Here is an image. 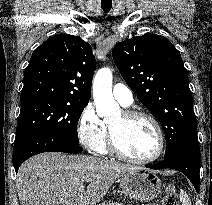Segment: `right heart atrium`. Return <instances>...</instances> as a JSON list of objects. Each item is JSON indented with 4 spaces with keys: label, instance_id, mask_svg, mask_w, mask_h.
Listing matches in <instances>:
<instances>
[{
    "label": "right heart atrium",
    "instance_id": "1",
    "mask_svg": "<svg viewBox=\"0 0 212 205\" xmlns=\"http://www.w3.org/2000/svg\"><path fill=\"white\" fill-rule=\"evenodd\" d=\"M76 134L79 143L90 151H95L105 135V124L91 103L82 109L78 117Z\"/></svg>",
    "mask_w": 212,
    "mask_h": 205
}]
</instances>
